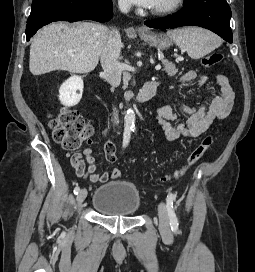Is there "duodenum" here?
I'll return each mask as SVG.
<instances>
[{
	"label": "duodenum",
	"mask_w": 255,
	"mask_h": 272,
	"mask_svg": "<svg viewBox=\"0 0 255 272\" xmlns=\"http://www.w3.org/2000/svg\"><path fill=\"white\" fill-rule=\"evenodd\" d=\"M158 81L155 79H151L143 85L139 93L137 94L135 98V102L138 104H143L151 100L157 90Z\"/></svg>",
	"instance_id": "obj_1"
}]
</instances>
